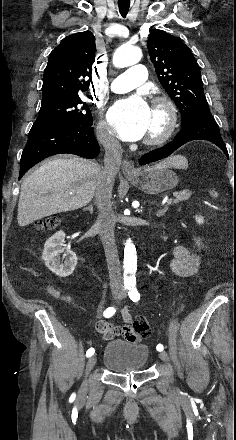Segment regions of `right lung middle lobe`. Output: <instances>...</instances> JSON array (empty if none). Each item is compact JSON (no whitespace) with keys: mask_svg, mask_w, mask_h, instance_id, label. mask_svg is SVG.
I'll return each mask as SVG.
<instances>
[{"mask_svg":"<svg viewBox=\"0 0 236 440\" xmlns=\"http://www.w3.org/2000/svg\"><path fill=\"white\" fill-rule=\"evenodd\" d=\"M38 120H54L79 125H92V115L80 97L41 105Z\"/></svg>","mask_w":236,"mask_h":440,"instance_id":"dd1d6c3e","label":"right lung middle lobe"}]
</instances>
